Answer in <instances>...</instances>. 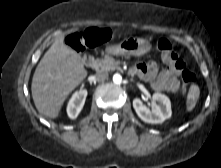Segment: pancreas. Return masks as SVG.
<instances>
[{"instance_id": "cf45deb5", "label": "pancreas", "mask_w": 221, "mask_h": 168, "mask_svg": "<svg viewBox=\"0 0 221 168\" xmlns=\"http://www.w3.org/2000/svg\"><path fill=\"white\" fill-rule=\"evenodd\" d=\"M115 69H119V66L113 57L106 56L96 61V71H113Z\"/></svg>"}]
</instances>
